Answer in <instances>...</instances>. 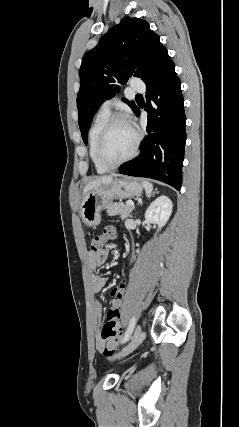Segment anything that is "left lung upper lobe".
<instances>
[{"instance_id":"left-lung-upper-lobe-1","label":"left lung upper lobe","mask_w":239,"mask_h":427,"mask_svg":"<svg viewBox=\"0 0 239 427\" xmlns=\"http://www.w3.org/2000/svg\"><path fill=\"white\" fill-rule=\"evenodd\" d=\"M170 61L159 35L145 20L127 17L109 30L84 55L79 71L78 123L84 143L87 144L88 129L102 102L120 90L117 84H125L130 77L141 78L147 84ZM127 103L136 113L134 102Z\"/></svg>"}]
</instances>
